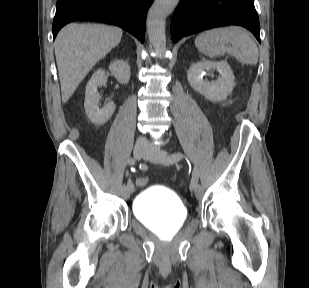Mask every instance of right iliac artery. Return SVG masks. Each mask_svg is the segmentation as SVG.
I'll return each instance as SVG.
<instances>
[{
  "mask_svg": "<svg viewBox=\"0 0 309 288\" xmlns=\"http://www.w3.org/2000/svg\"><path fill=\"white\" fill-rule=\"evenodd\" d=\"M139 170H150L149 168H147L145 165H139ZM130 179V178H129ZM127 190H134V185H132V182L128 181L127 182Z\"/></svg>",
  "mask_w": 309,
  "mask_h": 288,
  "instance_id": "right-iliac-artery-1",
  "label": "right iliac artery"
}]
</instances>
